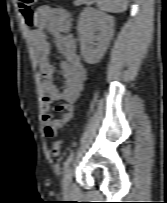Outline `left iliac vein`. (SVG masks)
I'll return each mask as SVG.
<instances>
[{
  "instance_id": "4c4485c4",
  "label": "left iliac vein",
  "mask_w": 167,
  "mask_h": 203,
  "mask_svg": "<svg viewBox=\"0 0 167 203\" xmlns=\"http://www.w3.org/2000/svg\"><path fill=\"white\" fill-rule=\"evenodd\" d=\"M63 194L69 195L72 192V168L66 170L65 176L62 181Z\"/></svg>"
}]
</instances>
